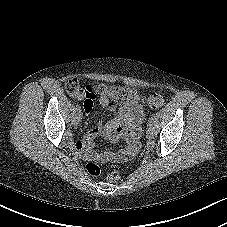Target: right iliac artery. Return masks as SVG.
<instances>
[{"instance_id": "82829eb1", "label": "right iliac artery", "mask_w": 227, "mask_h": 227, "mask_svg": "<svg viewBox=\"0 0 227 227\" xmlns=\"http://www.w3.org/2000/svg\"><path fill=\"white\" fill-rule=\"evenodd\" d=\"M75 109H76L78 112H81V107H80L78 104L75 106Z\"/></svg>"}]
</instances>
